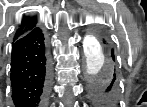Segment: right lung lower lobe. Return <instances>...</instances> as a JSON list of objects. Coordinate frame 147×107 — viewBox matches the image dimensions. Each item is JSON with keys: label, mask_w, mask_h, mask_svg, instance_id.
<instances>
[{"label": "right lung lower lobe", "mask_w": 147, "mask_h": 107, "mask_svg": "<svg viewBox=\"0 0 147 107\" xmlns=\"http://www.w3.org/2000/svg\"><path fill=\"white\" fill-rule=\"evenodd\" d=\"M49 77L44 35L35 28L12 45L10 79L14 107H44Z\"/></svg>", "instance_id": "right-lung-lower-lobe-1"}]
</instances>
